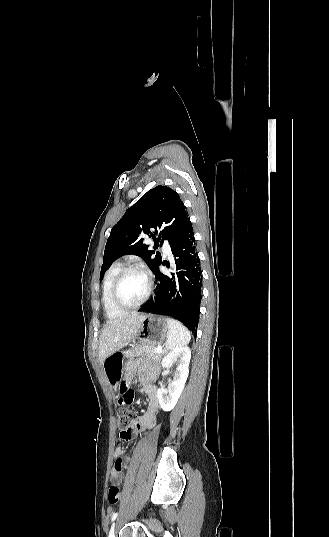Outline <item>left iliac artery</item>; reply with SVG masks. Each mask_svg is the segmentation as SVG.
Listing matches in <instances>:
<instances>
[{
  "label": "left iliac artery",
  "mask_w": 329,
  "mask_h": 537,
  "mask_svg": "<svg viewBox=\"0 0 329 537\" xmlns=\"http://www.w3.org/2000/svg\"><path fill=\"white\" fill-rule=\"evenodd\" d=\"M117 516H118V512L113 513V515L111 517V521H114Z\"/></svg>",
  "instance_id": "44dca946"
}]
</instances>
